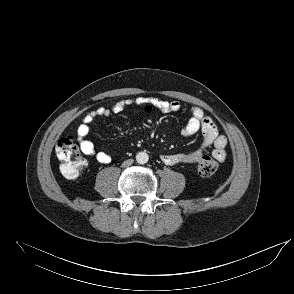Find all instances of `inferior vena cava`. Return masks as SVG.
I'll use <instances>...</instances> for the list:
<instances>
[{
	"instance_id": "1",
	"label": "inferior vena cava",
	"mask_w": 294,
	"mask_h": 294,
	"mask_svg": "<svg viewBox=\"0 0 294 294\" xmlns=\"http://www.w3.org/2000/svg\"><path fill=\"white\" fill-rule=\"evenodd\" d=\"M133 163V160L132 159H128V160H125L123 163H122V167H128L130 166L131 164Z\"/></svg>"
}]
</instances>
